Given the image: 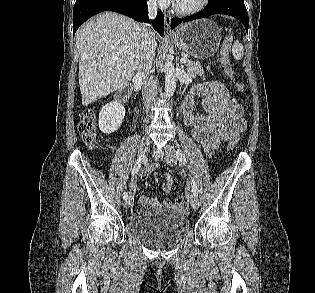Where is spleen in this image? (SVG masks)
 <instances>
[{"label": "spleen", "mask_w": 315, "mask_h": 293, "mask_svg": "<svg viewBox=\"0 0 315 293\" xmlns=\"http://www.w3.org/2000/svg\"><path fill=\"white\" fill-rule=\"evenodd\" d=\"M232 55L235 60H240L243 58L244 48H243V45L239 41H236L233 43Z\"/></svg>", "instance_id": "3e777b00"}]
</instances>
